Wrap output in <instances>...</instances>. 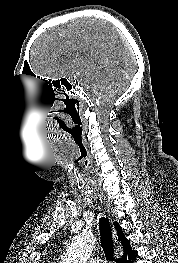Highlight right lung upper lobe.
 <instances>
[{
  "instance_id": "1",
  "label": "right lung upper lobe",
  "mask_w": 178,
  "mask_h": 263,
  "mask_svg": "<svg viewBox=\"0 0 178 263\" xmlns=\"http://www.w3.org/2000/svg\"><path fill=\"white\" fill-rule=\"evenodd\" d=\"M115 228L117 230V234H118V241L121 243L122 247H123V251L124 254L121 258H119L118 260H116V263H119V261L122 260L123 257H127L129 254H131L133 251L131 250V245H130V240H128L124 234L123 231L121 229V227L119 226V224L116 222L115 223Z\"/></svg>"
}]
</instances>
